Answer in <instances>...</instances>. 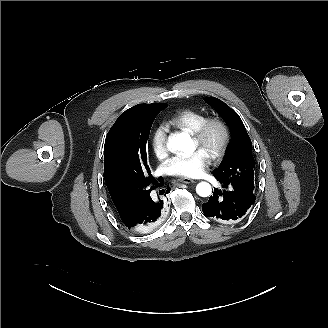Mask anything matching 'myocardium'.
<instances>
[{"label": "myocardium", "mask_w": 328, "mask_h": 328, "mask_svg": "<svg viewBox=\"0 0 328 328\" xmlns=\"http://www.w3.org/2000/svg\"><path fill=\"white\" fill-rule=\"evenodd\" d=\"M214 126H217L222 131V140L220 143V146L216 151L211 153L209 157L214 161H220L223 159V157L226 155L231 139H232V132L229 124L219 116H210L206 117L197 127V129L191 134L192 140L197 144L199 148H203L208 133L210 129Z\"/></svg>", "instance_id": "myocardium-1"}]
</instances>
